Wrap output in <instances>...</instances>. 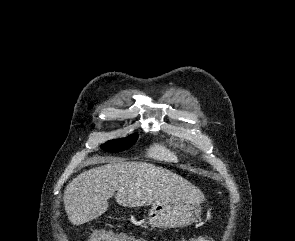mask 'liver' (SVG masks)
<instances>
[{"instance_id": "6515ba94", "label": "liver", "mask_w": 295, "mask_h": 241, "mask_svg": "<svg viewBox=\"0 0 295 241\" xmlns=\"http://www.w3.org/2000/svg\"><path fill=\"white\" fill-rule=\"evenodd\" d=\"M124 207L200 204L204 195L196 186L167 169L146 162L111 161L74 178L64 191L69 221L81 225L105 213L108 200Z\"/></svg>"}]
</instances>
